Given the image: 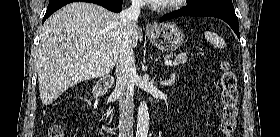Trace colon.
Masks as SVG:
<instances>
[{
	"instance_id": "5ec220e1",
	"label": "colon",
	"mask_w": 280,
	"mask_h": 137,
	"mask_svg": "<svg viewBox=\"0 0 280 137\" xmlns=\"http://www.w3.org/2000/svg\"><path fill=\"white\" fill-rule=\"evenodd\" d=\"M220 82L222 88L221 131L224 137H233L237 127L238 80L227 61L221 63ZM48 134L50 137H68L64 129L57 124L50 126Z\"/></svg>"
}]
</instances>
